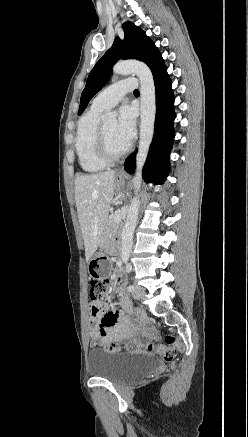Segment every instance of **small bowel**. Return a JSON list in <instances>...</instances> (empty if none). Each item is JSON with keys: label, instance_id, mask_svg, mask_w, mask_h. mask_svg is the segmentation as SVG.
Returning a JSON list of instances; mask_svg holds the SVG:
<instances>
[{"label": "small bowel", "instance_id": "c3829d8e", "mask_svg": "<svg viewBox=\"0 0 248 437\" xmlns=\"http://www.w3.org/2000/svg\"><path fill=\"white\" fill-rule=\"evenodd\" d=\"M122 276L116 279L119 304L123 310L118 312L106 311L104 305L98 301L90 303L89 336L93 344L109 345L122 340L128 341V347L133 351H141L143 342L139 339L138 331L143 337H149L151 331L143 324L134 327L130 313L132 311L129 299L122 293Z\"/></svg>", "mask_w": 248, "mask_h": 437}]
</instances>
